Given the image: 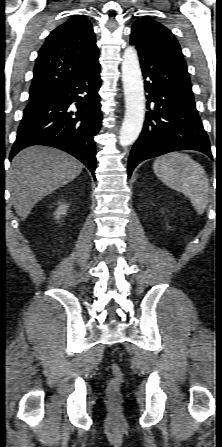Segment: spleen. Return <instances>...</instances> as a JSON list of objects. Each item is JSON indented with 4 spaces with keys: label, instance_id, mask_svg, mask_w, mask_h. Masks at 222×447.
I'll return each mask as SVG.
<instances>
[{
    "label": "spleen",
    "instance_id": "spleen-1",
    "mask_svg": "<svg viewBox=\"0 0 222 447\" xmlns=\"http://www.w3.org/2000/svg\"><path fill=\"white\" fill-rule=\"evenodd\" d=\"M153 170L170 188L188 197L201 215L208 205L209 181L203 167L189 155L172 152L157 158Z\"/></svg>",
    "mask_w": 222,
    "mask_h": 447
}]
</instances>
